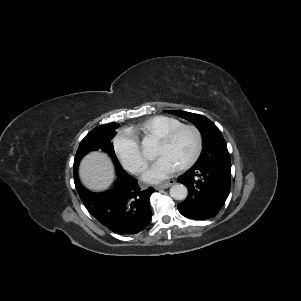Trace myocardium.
I'll return each mask as SVG.
<instances>
[{"label": "myocardium", "instance_id": "myocardium-1", "mask_svg": "<svg viewBox=\"0 0 301 301\" xmlns=\"http://www.w3.org/2000/svg\"><path fill=\"white\" fill-rule=\"evenodd\" d=\"M190 130L193 132L195 136V149L193 154L183 163L180 165V169H185L193 165L199 158L201 152H202V146H203V140L200 130L192 124H182L173 130L161 135L158 137L159 141H162L164 143H170L173 140L176 139V137L183 131Z\"/></svg>", "mask_w": 301, "mask_h": 301}]
</instances>
